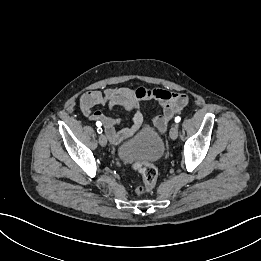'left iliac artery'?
Segmentation results:
<instances>
[{
  "mask_svg": "<svg viewBox=\"0 0 261 261\" xmlns=\"http://www.w3.org/2000/svg\"><path fill=\"white\" fill-rule=\"evenodd\" d=\"M180 120H181V117H179V116H177V117L175 118V122H176V123L180 122Z\"/></svg>",
  "mask_w": 261,
  "mask_h": 261,
  "instance_id": "left-iliac-artery-1",
  "label": "left iliac artery"
}]
</instances>
